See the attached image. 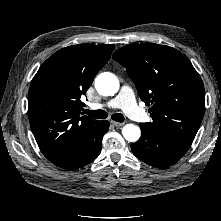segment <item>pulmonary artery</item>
<instances>
[{
    "instance_id": "pulmonary-artery-1",
    "label": "pulmonary artery",
    "mask_w": 221,
    "mask_h": 221,
    "mask_svg": "<svg viewBox=\"0 0 221 221\" xmlns=\"http://www.w3.org/2000/svg\"><path fill=\"white\" fill-rule=\"evenodd\" d=\"M92 109H102L108 107L110 109L122 108L124 112L133 120L144 122L147 120V114L137 105L134 93L129 86H123L119 95L108 101L106 104H91Z\"/></svg>"
}]
</instances>
